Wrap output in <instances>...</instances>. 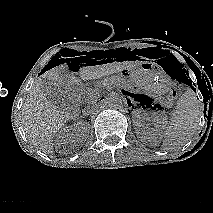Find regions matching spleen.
<instances>
[{
  "label": "spleen",
  "instance_id": "3e777b00",
  "mask_svg": "<svg viewBox=\"0 0 213 213\" xmlns=\"http://www.w3.org/2000/svg\"><path fill=\"white\" fill-rule=\"evenodd\" d=\"M202 113L195 92L188 88L177 101L174 117L165 131L163 149L174 150L184 145L196 133Z\"/></svg>",
  "mask_w": 213,
  "mask_h": 213
}]
</instances>
